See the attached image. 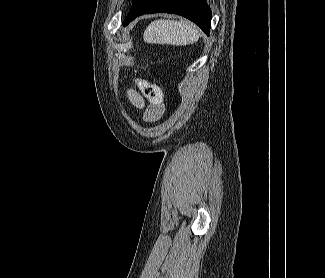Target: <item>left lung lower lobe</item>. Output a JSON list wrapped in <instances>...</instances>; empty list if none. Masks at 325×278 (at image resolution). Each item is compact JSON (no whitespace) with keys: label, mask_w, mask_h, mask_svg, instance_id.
Wrapping results in <instances>:
<instances>
[{"label":"left lung lower lobe","mask_w":325,"mask_h":278,"mask_svg":"<svg viewBox=\"0 0 325 278\" xmlns=\"http://www.w3.org/2000/svg\"><path fill=\"white\" fill-rule=\"evenodd\" d=\"M175 13L196 23L207 35L211 26V10L204 0H133L123 25L148 13Z\"/></svg>","instance_id":"1"}]
</instances>
